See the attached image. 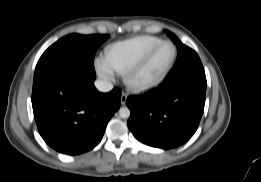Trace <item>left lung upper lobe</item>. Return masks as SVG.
Segmentation results:
<instances>
[{
    "instance_id": "5c2ea615",
    "label": "left lung upper lobe",
    "mask_w": 261,
    "mask_h": 182,
    "mask_svg": "<svg viewBox=\"0 0 261 182\" xmlns=\"http://www.w3.org/2000/svg\"><path fill=\"white\" fill-rule=\"evenodd\" d=\"M167 34L172 39V41L177 44L178 58L172 70L165 78L164 83L189 74L204 71L197 53L184 45L173 33L167 31Z\"/></svg>"
}]
</instances>
